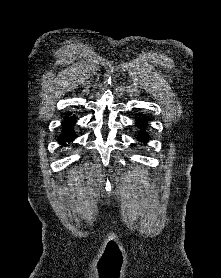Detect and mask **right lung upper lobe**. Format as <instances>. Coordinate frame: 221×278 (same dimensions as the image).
<instances>
[{
    "instance_id": "obj_1",
    "label": "right lung upper lobe",
    "mask_w": 221,
    "mask_h": 278,
    "mask_svg": "<svg viewBox=\"0 0 221 278\" xmlns=\"http://www.w3.org/2000/svg\"><path fill=\"white\" fill-rule=\"evenodd\" d=\"M70 114H71V113H68V114L64 117V119H65V118H67V117H69V116H70Z\"/></svg>"
}]
</instances>
